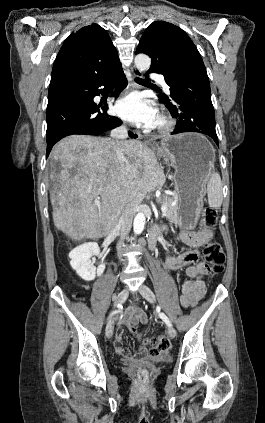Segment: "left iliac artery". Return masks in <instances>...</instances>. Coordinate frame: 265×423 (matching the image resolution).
<instances>
[{"label": "left iliac artery", "mask_w": 265, "mask_h": 423, "mask_svg": "<svg viewBox=\"0 0 265 423\" xmlns=\"http://www.w3.org/2000/svg\"><path fill=\"white\" fill-rule=\"evenodd\" d=\"M159 316L167 324V326L171 327L172 324L164 313H160Z\"/></svg>", "instance_id": "obj_1"}]
</instances>
